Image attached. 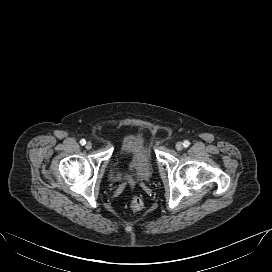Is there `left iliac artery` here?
<instances>
[{
    "label": "left iliac artery",
    "instance_id": "1",
    "mask_svg": "<svg viewBox=\"0 0 272 272\" xmlns=\"http://www.w3.org/2000/svg\"><path fill=\"white\" fill-rule=\"evenodd\" d=\"M183 145H184L185 147H188V146L190 145V142H189L188 140H185V141L183 142Z\"/></svg>",
    "mask_w": 272,
    "mask_h": 272
}]
</instances>
